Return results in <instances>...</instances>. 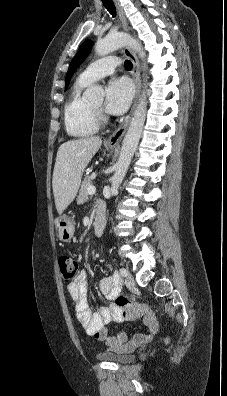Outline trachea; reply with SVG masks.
I'll return each mask as SVG.
<instances>
[{
  "label": "trachea",
  "mask_w": 227,
  "mask_h": 396,
  "mask_svg": "<svg viewBox=\"0 0 227 396\" xmlns=\"http://www.w3.org/2000/svg\"><path fill=\"white\" fill-rule=\"evenodd\" d=\"M102 3L104 5V7L107 9V11H109V13L115 17L116 16V8L114 6V3L112 2V0H102ZM133 67V64L130 60H126L125 61V68L127 70H131Z\"/></svg>",
  "instance_id": "1"
}]
</instances>
